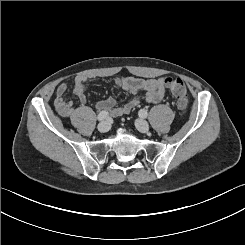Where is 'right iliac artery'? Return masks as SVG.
Wrapping results in <instances>:
<instances>
[{"instance_id": "obj_1", "label": "right iliac artery", "mask_w": 245, "mask_h": 245, "mask_svg": "<svg viewBox=\"0 0 245 245\" xmlns=\"http://www.w3.org/2000/svg\"><path fill=\"white\" fill-rule=\"evenodd\" d=\"M107 117H108V112L107 111H101L98 114L97 119H98V121H104Z\"/></svg>"}]
</instances>
